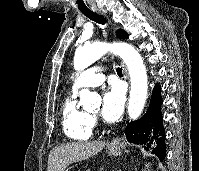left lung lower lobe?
Listing matches in <instances>:
<instances>
[{
    "label": "left lung lower lobe",
    "instance_id": "left-lung-lower-lobe-1",
    "mask_svg": "<svg viewBox=\"0 0 199 171\" xmlns=\"http://www.w3.org/2000/svg\"><path fill=\"white\" fill-rule=\"evenodd\" d=\"M160 86L156 85L146 114L137 121L130 122L125 130L127 140L131 143L156 145L153 152L163 160L166 156L165 131L163 128Z\"/></svg>",
    "mask_w": 199,
    "mask_h": 171
}]
</instances>
